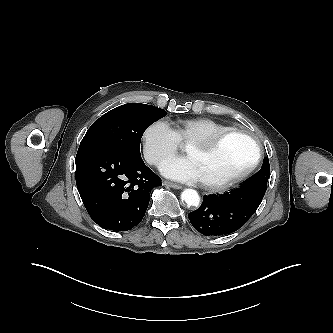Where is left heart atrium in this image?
<instances>
[{
    "label": "left heart atrium",
    "mask_w": 333,
    "mask_h": 333,
    "mask_svg": "<svg viewBox=\"0 0 333 333\" xmlns=\"http://www.w3.org/2000/svg\"><path fill=\"white\" fill-rule=\"evenodd\" d=\"M162 173L174 180L187 183L201 181L194 161L189 157H175L166 160L161 166Z\"/></svg>",
    "instance_id": "obj_1"
}]
</instances>
